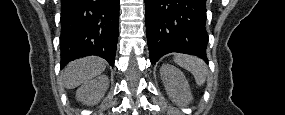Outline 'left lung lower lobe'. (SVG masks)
Wrapping results in <instances>:
<instances>
[{
	"label": "left lung lower lobe",
	"mask_w": 285,
	"mask_h": 115,
	"mask_svg": "<svg viewBox=\"0 0 285 115\" xmlns=\"http://www.w3.org/2000/svg\"><path fill=\"white\" fill-rule=\"evenodd\" d=\"M145 10L151 63L171 52L207 62L206 0H145Z\"/></svg>",
	"instance_id": "0a47b994"
}]
</instances>
